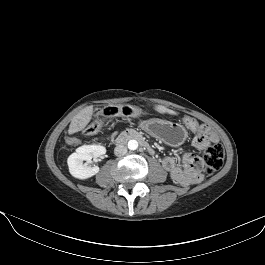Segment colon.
<instances>
[{
	"label": "colon",
	"mask_w": 265,
	"mask_h": 265,
	"mask_svg": "<svg viewBox=\"0 0 265 265\" xmlns=\"http://www.w3.org/2000/svg\"><path fill=\"white\" fill-rule=\"evenodd\" d=\"M145 114V110L128 104L105 106L95 111L92 120L84 129V133L86 135H95L110 120L116 117L135 118L144 116ZM183 122L190 129L199 128V123L192 117H184ZM224 156V150L221 145L211 144L207 146L203 154L205 173L207 175L216 173L223 165Z\"/></svg>",
	"instance_id": "obj_1"
}]
</instances>
